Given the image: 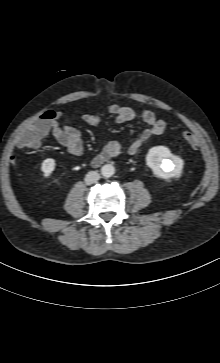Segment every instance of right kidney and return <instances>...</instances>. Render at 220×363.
Wrapping results in <instances>:
<instances>
[{"label": "right kidney", "mask_w": 220, "mask_h": 363, "mask_svg": "<svg viewBox=\"0 0 220 363\" xmlns=\"http://www.w3.org/2000/svg\"><path fill=\"white\" fill-rule=\"evenodd\" d=\"M55 169V160L52 158L45 159L41 164V170L44 173V177H49Z\"/></svg>", "instance_id": "ca27d5eb"}]
</instances>
